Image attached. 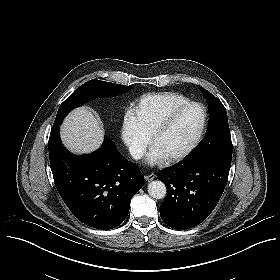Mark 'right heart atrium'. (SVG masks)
<instances>
[{
    "instance_id": "d8ad5b80",
    "label": "right heart atrium",
    "mask_w": 280,
    "mask_h": 280,
    "mask_svg": "<svg viewBox=\"0 0 280 280\" xmlns=\"http://www.w3.org/2000/svg\"><path fill=\"white\" fill-rule=\"evenodd\" d=\"M128 141L133 149L138 153H143L147 147L146 139L139 133H131Z\"/></svg>"
}]
</instances>
